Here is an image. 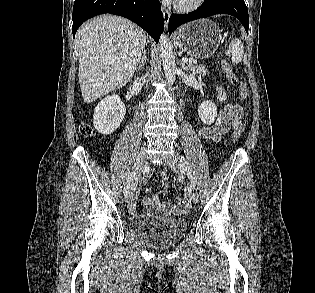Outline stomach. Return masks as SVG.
<instances>
[{
	"instance_id": "0dacf381",
	"label": "stomach",
	"mask_w": 315,
	"mask_h": 293,
	"mask_svg": "<svg viewBox=\"0 0 315 293\" xmlns=\"http://www.w3.org/2000/svg\"><path fill=\"white\" fill-rule=\"evenodd\" d=\"M175 44L197 59L211 57L219 47V27L209 19H201L181 26L174 35Z\"/></svg>"
}]
</instances>
